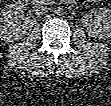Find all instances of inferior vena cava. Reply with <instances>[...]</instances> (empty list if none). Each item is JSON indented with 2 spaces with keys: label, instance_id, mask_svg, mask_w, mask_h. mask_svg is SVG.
Masks as SVG:
<instances>
[{
  "label": "inferior vena cava",
  "instance_id": "inferior-vena-cava-1",
  "mask_svg": "<svg viewBox=\"0 0 111 106\" xmlns=\"http://www.w3.org/2000/svg\"><path fill=\"white\" fill-rule=\"evenodd\" d=\"M36 10L41 13V14H44V13H47L48 10H49V7L46 6V4L43 2V1H40L37 5H36Z\"/></svg>",
  "mask_w": 111,
  "mask_h": 106
}]
</instances>
